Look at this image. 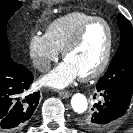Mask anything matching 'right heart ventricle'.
Here are the masks:
<instances>
[{"label": "right heart ventricle", "instance_id": "obj_1", "mask_svg": "<svg viewBox=\"0 0 133 133\" xmlns=\"http://www.w3.org/2000/svg\"><path fill=\"white\" fill-rule=\"evenodd\" d=\"M92 17L94 16L80 11L65 14L47 26L45 36L56 50L61 51L83 23Z\"/></svg>", "mask_w": 133, "mask_h": 133}]
</instances>
